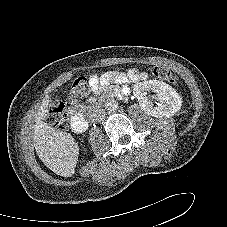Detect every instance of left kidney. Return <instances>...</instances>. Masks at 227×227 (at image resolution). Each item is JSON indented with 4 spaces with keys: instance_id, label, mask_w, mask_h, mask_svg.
I'll use <instances>...</instances> for the list:
<instances>
[{
    "instance_id": "5707ae66",
    "label": "left kidney",
    "mask_w": 227,
    "mask_h": 227,
    "mask_svg": "<svg viewBox=\"0 0 227 227\" xmlns=\"http://www.w3.org/2000/svg\"><path fill=\"white\" fill-rule=\"evenodd\" d=\"M133 90L141 109L153 117L174 116L181 108L182 100L180 95L174 88L164 82L158 80L140 82L134 86ZM147 91L155 93V98L160 102L157 106L147 99Z\"/></svg>"
}]
</instances>
